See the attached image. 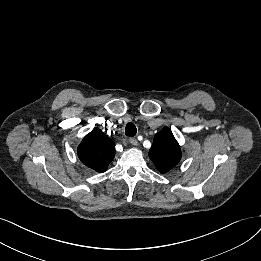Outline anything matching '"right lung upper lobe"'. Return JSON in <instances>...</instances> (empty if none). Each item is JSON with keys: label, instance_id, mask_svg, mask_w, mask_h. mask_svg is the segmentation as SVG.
Wrapping results in <instances>:
<instances>
[{"label": "right lung upper lobe", "instance_id": "cb5924a9", "mask_svg": "<svg viewBox=\"0 0 261 261\" xmlns=\"http://www.w3.org/2000/svg\"><path fill=\"white\" fill-rule=\"evenodd\" d=\"M83 164L97 172H104L115 156V144L100 129L87 134L77 149Z\"/></svg>", "mask_w": 261, "mask_h": 261}]
</instances>
